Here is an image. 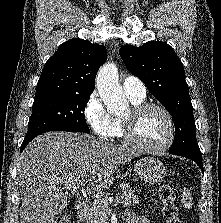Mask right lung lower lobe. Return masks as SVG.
<instances>
[{
  "label": "right lung lower lobe",
  "mask_w": 221,
  "mask_h": 223,
  "mask_svg": "<svg viewBox=\"0 0 221 223\" xmlns=\"http://www.w3.org/2000/svg\"><path fill=\"white\" fill-rule=\"evenodd\" d=\"M38 135H39V134H38ZM36 136H37V135H34V136H32V137H25V138H24V141H23V143H22V145H21V147H20V152H22L23 149L27 146V144H28L32 139H34Z\"/></svg>",
  "instance_id": "obj_1"
}]
</instances>
